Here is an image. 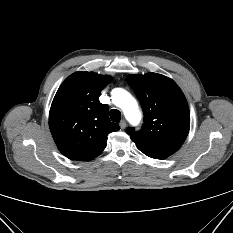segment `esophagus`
Instances as JSON below:
<instances>
[{"label": "esophagus", "mask_w": 233, "mask_h": 233, "mask_svg": "<svg viewBox=\"0 0 233 233\" xmlns=\"http://www.w3.org/2000/svg\"><path fill=\"white\" fill-rule=\"evenodd\" d=\"M119 126H120L121 129H125V127H126V121L124 119L121 120V122L119 123Z\"/></svg>", "instance_id": "1"}]
</instances>
